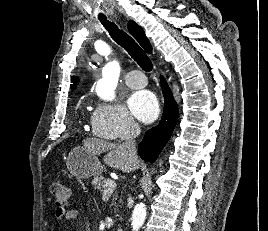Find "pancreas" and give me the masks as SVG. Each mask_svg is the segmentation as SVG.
Returning a JSON list of instances; mask_svg holds the SVG:
<instances>
[{
  "instance_id": "1",
  "label": "pancreas",
  "mask_w": 268,
  "mask_h": 231,
  "mask_svg": "<svg viewBox=\"0 0 268 231\" xmlns=\"http://www.w3.org/2000/svg\"><path fill=\"white\" fill-rule=\"evenodd\" d=\"M109 179L104 178L103 176H95L93 181H92V185L97 188V189H104L105 183L106 181Z\"/></svg>"
}]
</instances>
